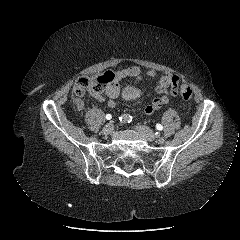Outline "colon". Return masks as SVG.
Returning <instances> with one entry per match:
<instances>
[{
	"mask_svg": "<svg viewBox=\"0 0 240 240\" xmlns=\"http://www.w3.org/2000/svg\"><path fill=\"white\" fill-rule=\"evenodd\" d=\"M113 74L112 72H105L100 75L82 78L80 79L73 89V94L75 97V103L78 110L82 109V97L89 93L92 96L100 95L107 86L112 82ZM178 91L181 97L187 102L190 103L192 100V90L187 85H180L178 84L173 85V89Z\"/></svg>",
	"mask_w": 240,
	"mask_h": 240,
	"instance_id": "obj_1",
	"label": "colon"
}]
</instances>
